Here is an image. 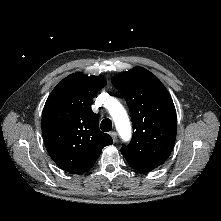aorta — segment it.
<instances>
[{
	"label": "aorta",
	"mask_w": 221,
	"mask_h": 221,
	"mask_svg": "<svg viewBox=\"0 0 221 221\" xmlns=\"http://www.w3.org/2000/svg\"><path fill=\"white\" fill-rule=\"evenodd\" d=\"M112 101V107L110 108V114L115 122V126L121 138L128 141L131 137V124L128 115L123 106L115 101Z\"/></svg>",
	"instance_id": "762f6f07"
}]
</instances>
